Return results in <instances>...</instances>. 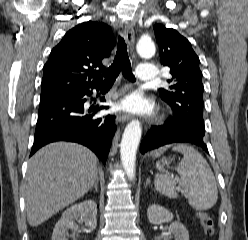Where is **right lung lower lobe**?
Segmentation results:
<instances>
[{
	"label": "right lung lower lobe",
	"instance_id": "98d812e1",
	"mask_svg": "<svg viewBox=\"0 0 248 240\" xmlns=\"http://www.w3.org/2000/svg\"><path fill=\"white\" fill-rule=\"evenodd\" d=\"M99 87L91 86L70 94L41 99L30 155L48 143L72 141L87 146L105 163L116 131L115 116L96 115L97 111L108 109V106L96 107L92 114L84 109L85 96H90L92 89L98 90Z\"/></svg>",
	"mask_w": 248,
	"mask_h": 240
}]
</instances>
